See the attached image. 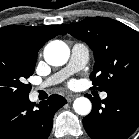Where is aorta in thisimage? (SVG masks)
I'll return each mask as SVG.
<instances>
[{"label":"aorta","instance_id":"obj_1","mask_svg":"<svg viewBox=\"0 0 139 139\" xmlns=\"http://www.w3.org/2000/svg\"><path fill=\"white\" fill-rule=\"evenodd\" d=\"M70 56L69 47L59 40L48 43L44 49V59L52 66L64 65ZM75 112L79 115L85 116L91 112V101L86 97H79L73 103Z\"/></svg>","mask_w":139,"mask_h":139}]
</instances>
